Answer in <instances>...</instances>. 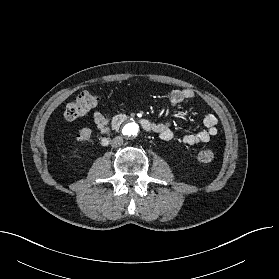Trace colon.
<instances>
[{
  "mask_svg": "<svg viewBox=\"0 0 279 279\" xmlns=\"http://www.w3.org/2000/svg\"><path fill=\"white\" fill-rule=\"evenodd\" d=\"M97 103L98 97L96 95L84 91L67 104L64 117L69 121L75 120L89 112ZM76 140L82 144L90 143L92 141V131L89 128H82L76 134ZM197 158L202 163H209L214 159V152L208 147H203L199 150Z\"/></svg>",
  "mask_w": 279,
  "mask_h": 279,
  "instance_id": "5ec220e1",
  "label": "colon"
}]
</instances>
